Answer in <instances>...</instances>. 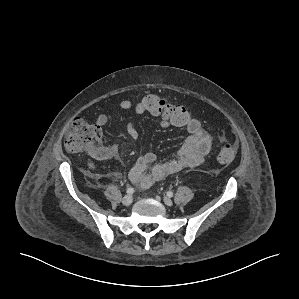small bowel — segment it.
<instances>
[{
    "label": "small bowel",
    "mask_w": 299,
    "mask_h": 299,
    "mask_svg": "<svg viewBox=\"0 0 299 299\" xmlns=\"http://www.w3.org/2000/svg\"><path fill=\"white\" fill-rule=\"evenodd\" d=\"M118 107L123 110H133L137 114L146 113L140 100L135 102L122 100L118 103ZM115 121L113 117L100 114L95 119V125L97 127L113 125ZM160 125L163 128L173 126L165 120H161ZM185 129L188 136L172 159L157 163L154 153L147 152L142 154L129 172L130 180L139 187L147 188L154 182L163 180L185 168H193L200 165L211 149L212 137L203 129L200 121L196 118L185 126ZM126 131L132 139L136 140L139 138V131L132 122L126 124ZM118 153V145L112 144L107 148L101 149L93 156L98 160H109L117 157Z\"/></svg>",
    "instance_id": "obj_1"
}]
</instances>
